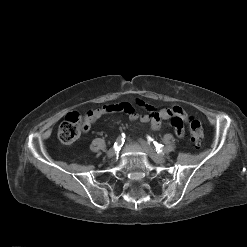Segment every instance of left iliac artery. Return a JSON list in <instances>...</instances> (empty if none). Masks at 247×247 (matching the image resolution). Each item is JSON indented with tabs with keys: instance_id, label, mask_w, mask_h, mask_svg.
Returning <instances> with one entry per match:
<instances>
[{
	"instance_id": "1",
	"label": "left iliac artery",
	"mask_w": 247,
	"mask_h": 247,
	"mask_svg": "<svg viewBox=\"0 0 247 247\" xmlns=\"http://www.w3.org/2000/svg\"><path fill=\"white\" fill-rule=\"evenodd\" d=\"M148 141L151 142L153 141V139H151L150 137L148 138ZM156 148V152L158 153H162L163 151L166 152V149L164 148V146L162 144H158L157 142H153Z\"/></svg>"
}]
</instances>
